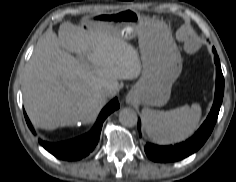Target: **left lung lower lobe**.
Returning <instances> with one entry per match:
<instances>
[{"label":"left lung lower lobe","instance_id":"0a47b994","mask_svg":"<svg viewBox=\"0 0 236 182\" xmlns=\"http://www.w3.org/2000/svg\"><path fill=\"white\" fill-rule=\"evenodd\" d=\"M215 64L216 89L214 104L206 121L202 124L194 136L186 142L176 144L175 146H158L147 143L145 145V153L151 160L156 162H172L182 160L196 152L206 142L216 123L224 94V77L222 74L220 61ZM138 127H140V123H138Z\"/></svg>","mask_w":236,"mask_h":182}]
</instances>
